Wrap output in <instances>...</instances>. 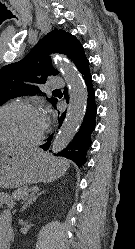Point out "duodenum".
Here are the masks:
<instances>
[{"label": "duodenum", "mask_w": 135, "mask_h": 249, "mask_svg": "<svg viewBox=\"0 0 135 249\" xmlns=\"http://www.w3.org/2000/svg\"><path fill=\"white\" fill-rule=\"evenodd\" d=\"M9 241H10V239H9ZM8 246H9V242H8V243H5V244L3 245L4 249H8Z\"/></svg>", "instance_id": "obj_1"}]
</instances>
